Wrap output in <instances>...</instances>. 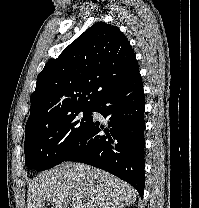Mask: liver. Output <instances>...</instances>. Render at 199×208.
Here are the masks:
<instances>
[{"label":"liver","instance_id":"6515ba94","mask_svg":"<svg viewBox=\"0 0 199 208\" xmlns=\"http://www.w3.org/2000/svg\"><path fill=\"white\" fill-rule=\"evenodd\" d=\"M136 201V190L101 169L82 163L64 162L40 173L30 184L27 208H125Z\"/></svg>","mask_w":199,"mask_h":208}]
</instances>
